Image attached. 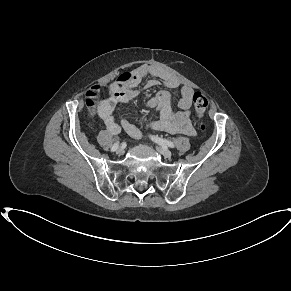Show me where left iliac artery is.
<instances>
[{
	"instance_id": "obj_1",
	"label": "left iliac artery",
	"mask_w": 291,
	"mask_h": 291,
	"mask_svg": "<svg viewBox=\"0 0 291 291\" xmlns=\"http://www.w3.org/2000/svg\"><path fill=\"white\" fill-rule=\"evenodd\" d=\"M151 139L163 147L175 148V145L173 144V142H171L169 140L160 138L158 136H151Z\"/></svg>"
}]
</instances>
